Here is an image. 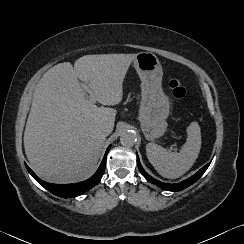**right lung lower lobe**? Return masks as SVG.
<instances>
[{
  "instance_id": "1",
  "label": "right lung lower lobe",
  "mask_w": 244,
  "mask_h": 244,
  "mask_svg": "<svg viewBox=\"0 0 244 244\" xmlns=\"http://www.w3.org/2000/svg\"><path fill=\"white\" fill-rule=\"evenodd\" d=\"M109 146L106 150V153L104 155V158L100 164V167L96 171V173L89 178L88 180H85L80 183H74V184H52V183H47L43 180H41L36 174L26 165L27 170L29 173L36 179L37 182H39L44 188H46L48 191L51 193L55 194L56 196L63 197V198H72L79 196L86 192L87 190L91 189L94 187L102 178L103 173L105 171V166H106V157L107 154L110 150Z\"/></svg>"
}]
</instances>
